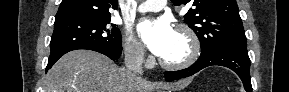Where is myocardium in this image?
<instances>
[{
    "mask_svg": "<svg viewBox=\"0 0 289 92\" xmlns=\"http://www.w3.org/2000/svg\"><path fill=\"white\" fill-rule=\"evenodd\" d=\"M176 32L181 33L186 37L189 43L190 51L188 56L178 62H168L163 58L160 59V64L169 70H181L194 64L200 56L201 44L197 34L187 24H178Z\"/></svg>",
    "mask_w": 289,
    "mask_h": 92,
    "instance_id": "f54148a6",
    "label": "myocardium"
}]
</instances>
